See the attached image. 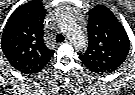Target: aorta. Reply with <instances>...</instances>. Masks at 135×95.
Segmentation results:
<instances>
[{
  "label": "aorta",
  "mask_w": 135,
  "mask_h": 95,
  "mask_svg": "<svg viewBox=\"0 0 135 95\" xmlns=\"http://www.w3.org/2000/svg\"><path fill=\"white\" fill-rule=\"evenodd\" d=\"M71 39L73 40L74 46L78 49H82L86 45V38L79 29H75L73 32H69Z\"/></svg>",
  "instance_id": "1"
}]
</instances>
